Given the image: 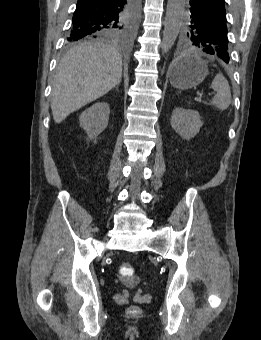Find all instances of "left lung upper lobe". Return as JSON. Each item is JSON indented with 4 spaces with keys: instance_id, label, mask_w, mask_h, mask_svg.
Here are the masks:
<instances>
[{
    "instance_id": "5c2ea615",
    "label": "left lung upper lobe",
    "mask_w": 261,
    "mask_h": 340,
    "mask_svg": "<svg viewBox=\"0 0 261 340\" xmlns=\"http://www.w3.org/2000/svg\"><path fill=\"white\" fill-rule=\"evenodd\" d=\"M186 24L182 32L185 48L198 47L204 52L228 61L229 41L225 15L193 16L187 8Z\"/></svg>"
}]
</instances>
